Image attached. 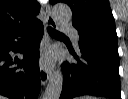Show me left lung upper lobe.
<instances>
[{
  "instance_id": "obj_1",
  "label": "left lung upper lobe",
  "mask_w": 128,
  "mask_h": 99,
  "mask_svg": "<svg viewBox=\"0 0 128 99\" xmlns=\"http://www.w3.org/2000/svg\"><path fill=\"white\" fill-rule=\"evenodd\" d=\"M64 2L71 7L73 26L79 38L88 34H102L117 38L114 17L108 0H50Z\"/></svg>"
}]
</instances>
